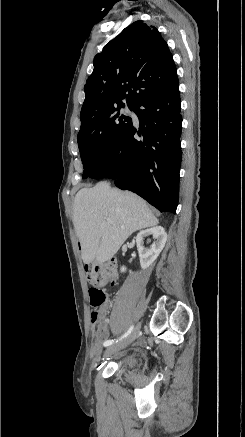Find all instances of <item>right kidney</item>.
Masks as SVG:
<instances>
[{"label":"right kidney","instance_id":"ca27d5eb","mask_svg":"<svg viewBox=\"0 0 245 437\" xmlns=\"http://www.w3.org/2000/svg\"><path fill=\"white\" fill-rule=\"evenodd\" d=\"M152 236L155 242L149 247H144V238ZM167 234L163 227L155 226L146 230L140 231L136 236V244L140 258V265L142 269L148 268L159 256L160 252L165 246ZM126 268L123 266L121 272H125Z\"/></svg>","mask_w":245,"mask_h":437}]
</instances>
